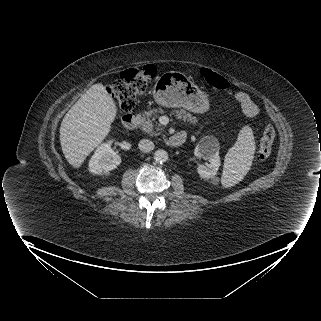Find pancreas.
<instances>
[{"label": "pancreas", "instance_id": "1", "mask_svg": "<svg viewBox=\"0 0 321 321\" xmlns=\"http://www.w3.org/2000/svg\"><path fill=\"white\" fill-rule=\"evenodd\" d=\"M159 113L163 114L164 110H162L161 108L159 109H152L149 110L147 112H145V114H143V116L139 117L140 120V124L139 127L141 130H143L145 133H148L151 136H157L160 135L163 131V127L160 124H154V120L156 117H158ZM177 119H181L183 121H187L189 124L192 125H196L197 123V118L195 116H192L190 113H187L184 109L181 110H174L173 113ZM152 117V119H151Z\"/></svg>", "mask_w": 321, "mask_h": 321}]
</instances>
